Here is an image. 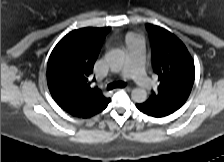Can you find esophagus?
Here are the masks:
<instances>
[{
    "label": "esophagus",
    "mask_w": 224,
    "mask_h": 162,
    "mask_svg": "<svg viewBox=\"0 0 224 162\" xmlns=\"http://www.w3.org/2000/svg\"><path fill=\"white\" fill-rule=\"evenodd\" d=\"M124 90L130 91L131 88L130 87H125Z\"/></svg>",
    "instance_id": "obj_1"
}]
</instances>
